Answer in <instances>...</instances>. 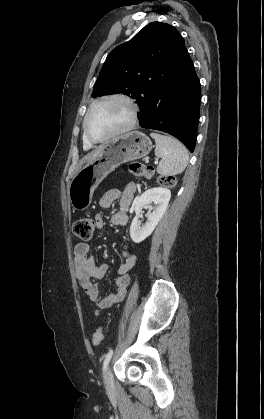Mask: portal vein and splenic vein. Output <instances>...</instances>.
Listing matches in <instances>:
<instances>
[{
    "instance_id": "portal-vein-and-splenic-vein-1",
    "label": "portal vein and splenic vein",
    "mask_w": 264,
    "mask_h": 419,
    "mask_svg": "<svg viewBox=\"0 0 264 419\" xmlns=\"http://www.w3.org/2000/svg\"><path fill=\"white\" fill-rule=\"evenodd\" d=\"M155 164H158V160H155Z\"/></svg>"
}]
</instances>
